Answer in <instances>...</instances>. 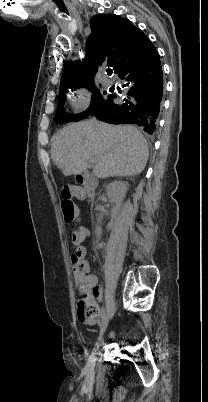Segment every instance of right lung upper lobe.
<instances>
[{
    "label": "right lung upper lobe",
    "mask_w": 208,
    "mask_h": 402,
    "mask_svg": "<svg viewBox=\"0 0 208 402\" xmlns=\"http://www.w3.org/2000/svg\"><path fill=\"white\" fill-rule=\"evenodd\" d=\"M91 34L86 43L83 68L79 62L66 65L60 89L66 90L87 82L94 77L103 63L113 67L117 74L122 58L134 47L142 32L130 20L115 14H99L90 21Z\"/></svg>",
    "instance_id": "cb5924a9"
}]
</instances>
